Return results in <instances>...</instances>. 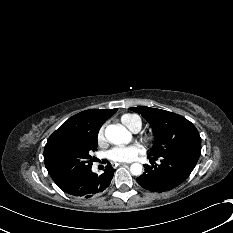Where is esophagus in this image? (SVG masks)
I'll use <instances>...</instances> for the list:
<instances>
[{"label": "esophagus", "instance_id": "obj_1", "mask_svg": "<svg viewBox=\"0 0 233 233\" xmlns=\"http://www.w3.org/2000/svg\"><path fill=\"white\" fill-rule=\"evenodd\" d=\"M128 163H119V165H122V166H124V165H127Z\"/></svg>", "mask_w": 233, "mask_h": 233}]
</instances>
